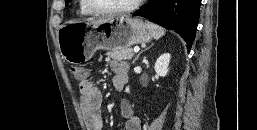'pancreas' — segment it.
Instances as JSON below:
<instances>
[{
    "mask_svg": "<svg viewBox=\"0 0 257 130\" xmlns=\"http://www.w3.org/2000/svg\"><path fill=\"white\" fill-rule=\"evenodd\" d=\"M109 58L113 60H130L134 56L133 49L131 47L121 48L117 50H112L106 54Z\"/></svg>",
    "mask_w": 257,
    "mask_h": 130,
    "instance_id": "cf45deb5",
    "label": "pancreas"
}]
</instances>
